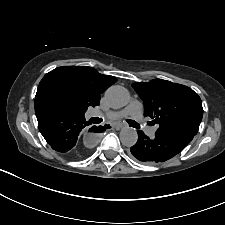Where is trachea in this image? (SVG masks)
<instances>
[{
  "label": "trachea",
  "mask_w": 225,
  "mask_h": 225,
  "mask_svg": "<svg viewBox=\"0 0 225 225\" xmlns=\"http://www.w3.org/2000/svg\"><path fill=\"white\" fill-rule=\"evenodd\" d=\"M127 122L129 123L130 126L136 128V129H138L140 127L139 124L133 120L128 119Z\"/></svg>",
  "instance_id": "1"
}]
</instances>
